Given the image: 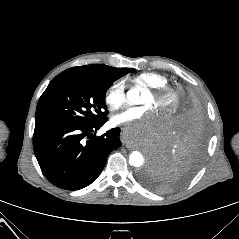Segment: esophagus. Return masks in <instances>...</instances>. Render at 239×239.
<instances>
[{
    "label": "esophagus",
    "mask_w": 239,
    "mask_h": 239,
    "mask_svg": "<svg viewBox=\"0 0 239 239\" xmlns=\"http://www.w3.org/2000/svg\"><path fill=\"white\" fill-rule=\"evenodd\" d=\"M121 136H119V141H121V142H123V144H125V146L127 147V148H132L130 145H128V143H127V141H125V138H124V136H126V129H124V128H122L121 129Z\"/></svg>",
    "instance_id": "1"
}]
</instances>
